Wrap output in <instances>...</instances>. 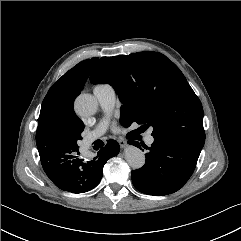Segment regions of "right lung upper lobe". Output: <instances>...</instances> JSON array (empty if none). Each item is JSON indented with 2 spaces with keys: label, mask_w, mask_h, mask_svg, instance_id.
Masks as SVG:
<instances>
[{
  "label": "right lung upper lobe",
  "mask_w": 241,
  "mask_h": 241,
  "mask_svg": "<svg viewBox=\"0 0 241 241\" xmlns=\"http://www.w3.org/2000/svg\"><path fill=\"white\" fill-rule=\"evenodd\" d=\"M97 60L92 58L78 63L49 89L41 106L36 141L48 142L55 135H70L76 131L81 120L73 110V102Z\"/></svg>",
  "instance_id": "right-lung-upper-lobe-1"
}]
</instances>
